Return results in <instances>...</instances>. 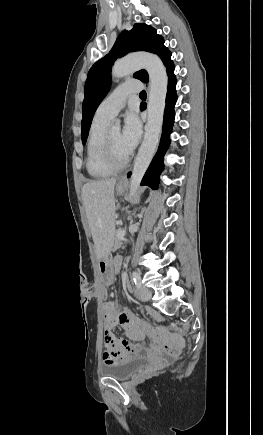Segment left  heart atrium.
<instances>
[{"mask_svg": "<svg viewBox=\"0 0 263 435\" xmlns=\"http://www.w3.org/2000/svg\"><path fill=\"white\" fill-rule=\"evenodd\" d=\"M141 138V123L135 113H129L124 122L121 142L125 151L130 154Z\"/></svg>", "mask_w": 263, "mask_h": 435, "instance_id": "39dd6f15", "label": "left heart atrium"}]
</instances>
